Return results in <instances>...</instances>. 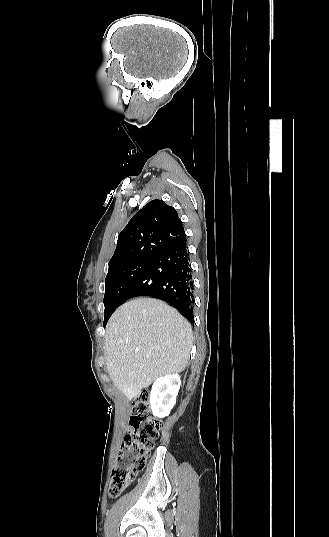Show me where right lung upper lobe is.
I'll use <instances>...</instances> for the list:
<instances>
[{"label": "right lung upper lobe", "instance_id": "1", "mask_svg": "<svg viewBox=\"0 0 329 537\" xmlns=\"http://www.w3.org/2000/svg\"><path fill=\"white\" fill-rule=\"evenodd\" d=\"M184 237L177 211L162 200H152L119 234L109 270L134 260H153Z\"/></svg>", "mask_w": 329, "mask_h": 537}]
</instances>
